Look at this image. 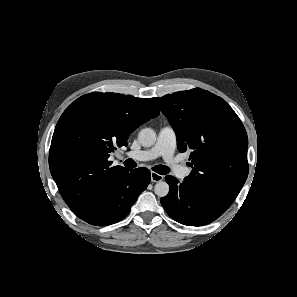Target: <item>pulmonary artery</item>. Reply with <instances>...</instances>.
Here are the masks:
<instances>
[{
	"label": "pulmonary artery",
	"mask_w": 297,
	"mask_h": 297,
	"mask_svg": "<svg viewBox=\"0 0 297 297\" xmlns=\"http://www.w3.org/2000/svg\"><path fill=\"white\" fill-rule=\"evenodd\" d=\"M177 145V136L171 126L163 127L158 134L156 144L147 150L132 151L129 157L136 160H153L157 157H162L171 167V170L179 179H184L189 169L181 164H178L174 159V152Z\"/></svg>",
	"instance_id": "obj_1"
}]
</instances>
